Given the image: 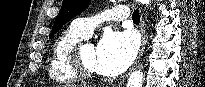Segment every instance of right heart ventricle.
I'll return each instance as SVG.
<instances>
[{"label":"right heart ventricle","mask_w":205,"mask_h":87,"mask_svg":"<svg viewBox=\"0 0 205 87\" xmlns=\"http://www.w3.org/2000/svg\"><path fill=\"white\" fill-rule=\"evenodd\" d=\"M84 38L71 27L55 40L49 59V76L54 83L71 84L78 81L69 63V53Z\"/></svg>","instance_id":"right-heart-ventricle-1"}]
</instances>
